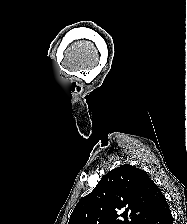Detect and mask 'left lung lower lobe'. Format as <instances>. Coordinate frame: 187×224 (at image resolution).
Wrapping results in <instances>:
<instances>
[{"label": "left lung lower lobe", "instance_id": "left-lung-lower-lobe-1", "mask_svg": "<svg viewBox=\"0 0 187 224\" xmlns=\"http://www.w3.org/2000/svg\"><path fill=\"white\" fill-rule=\"evenodd\" d=\"M148 224H173V217L164 195L161 197L159 206Z\"/></svg>", "mask_w": 187, "mask_h": 224}]
</instances>
